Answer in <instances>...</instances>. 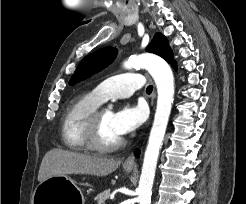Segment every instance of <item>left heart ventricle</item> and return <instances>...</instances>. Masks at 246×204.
<instances>
[{
  "label": "left heart ventricle",
  "mask_w": 246,
  "mask_h": 204,
  "mask_svg": "<svg viewBox=\"0 0 246 204\" xmlns=\"http://www.w3.org/2000/svg\"><path fill=\"white\" fill-rule=\"evenodd\" d=\"M99 136L104 144H112L121 138L114 128L113 113L109 110L102 111Z\"/></svg>",
  "instance_id": "obj_1"
}]
</instances>
